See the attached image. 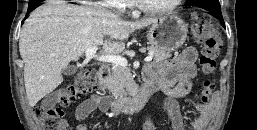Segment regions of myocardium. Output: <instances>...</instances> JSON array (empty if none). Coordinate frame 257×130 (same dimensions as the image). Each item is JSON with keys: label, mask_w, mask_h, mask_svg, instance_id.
<instances>
[{"label": "myocardium", "mask_w": 257, "mask_h": 130, "mask_svg": "<svg viewBox=\"0 0 257 130\" xmlns=\"http://www.w3.org/2000/svg\"><path fill=\"white\" fill-rule=\"evenodd\" d=\"M137 8L142 12L147 14H165L175 10L183 0H174L170 5L162 7V8H152L147 6L142 0H134Z\"/></svg>", "instance_id": "f54148a6"}]
</instances>
